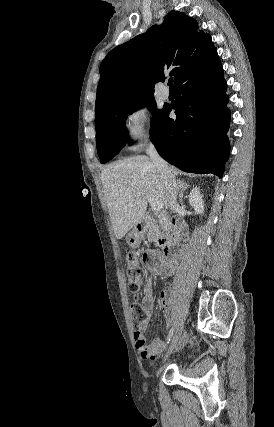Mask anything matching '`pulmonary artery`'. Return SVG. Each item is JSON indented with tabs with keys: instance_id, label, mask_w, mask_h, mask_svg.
<instances>
[{
	"instance_id": "1",
	"label": "pulmonary artery",
	"mask_w": 274,
	"mask_h": 427,
	"mask_svg": "<svg viewBox=\"0 0 274 427\" xmlns=\"http://www.w3.org/2000/svg\"><path fill=\"white\" fill-rule=\"evenodd\" d=\"M170 95V90L166 85H162L159 88V96L162 100H167Z\"/></svg>"
}]
</instances>
